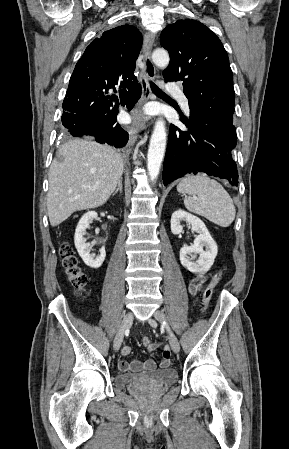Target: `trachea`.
Listing matches in <instances>:
<instances>
[{
  "label": "trachea",
  "mask_w": 289,
  "mask_h": 449,
  "mask_svg": "<svg viewBox=\"0 0 289 449\" xmlns=\"http://www.w3.org/2000/svg\"><path fill=\"white\" fill-rule=\"evenodd\" d=\"M150 86H151V89H152L153 92L164 94L163 91L160 90L154 83L150 82Z\"/></svg>",
  "instance_id": "3493384b"
}]
</instances>
